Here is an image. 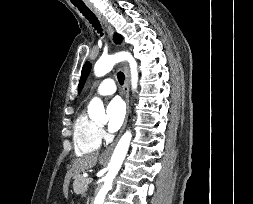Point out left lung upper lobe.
Segmentation results:
<instances>
[{"instance_id":"obj_1","label":"left lung upper lobe","mask_w":253,"mask_h":204,"mask_svg":"<svg viewBox=\"0 0 253 204\" xmlns=\"http://www.w3.org/2000/svg\"><path fill=\"white\" fill-rule=\"evenodd\" d=\"M115 40H116L117 43L121 42L122 36L118 35V34H115ZM90 69H91V64L89 62H86L83 66L82 73H81V78H80L79 85H78V91L79 92L82 90V88L84 86V83L86 81V78L89 74Z\"/></svg>"}]
</instances>
